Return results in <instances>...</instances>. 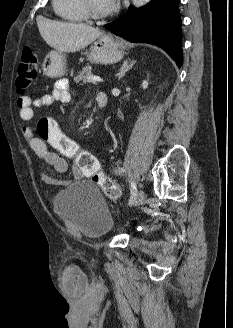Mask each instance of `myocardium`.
Here are the masks:
<instances>
[{
    "label": "myocardium",
    "mask_w": 233,
    "mask_h": 328,
    "mask_svg": "<svg viewBox=\"0 0 233 328\" xmlns=\"http://www.w3.org/2000/svg\"><path fill=\"white\" fill-rule=\"evenodd\" d=\"M83 8L86 12L87 17L92 19H103L115 14L118 10L117 6H113L108 10H97L95 9L90 0H82Z\"/></svg>",
    "instance_id": "1"
}]
</instances>
